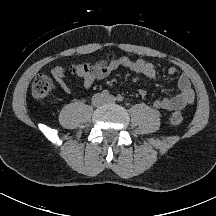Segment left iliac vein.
Segmentation results:
<instances>
[{"instance_id": "4c4485c4", "label": "left iliac vein", "mask_w": 216, "mask_h": 216, "mask_svg": "<svg viewBox=\"0 0 216 216\" xmlns=\"http://www.w3.org/2000/svg\"><path fill=\"white\" fill-rule=\"evenodd\" d=\"M115 101H116V98L112 95H110L104 99V103H114Z\"/></svg>"}]
</instances>
